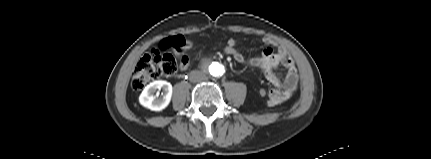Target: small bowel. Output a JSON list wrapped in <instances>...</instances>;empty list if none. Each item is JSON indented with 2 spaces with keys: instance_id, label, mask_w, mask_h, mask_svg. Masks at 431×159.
Segmentation results:
<instances>
[{
  "instance_id": "1",
  "label": "small bowel",
  "mask_w": 431,
  "mask_h": 159,
  "mask_svg": "<svg viewBox=\"0 0 431 159\" xmlns=\"http://www.w3.org/2000/svg\"><path fill=\"white\" fill-rule=\"evenodd\" d=\"M262 42L266 45V48L260 56L249 59H246L242 53L239 55L230 54V56L239 63L259 68L265 73L268 81L277 87L267 92V102L271 107H279L282 102L288 100L297 89V70L294 61L288 53L283 49L275 48V43L272 39L264 37ZM230 47L237 48V41L235 39H230L226 45L223 46L220 44L217 48L220 51L229 52ZM280 66L286 69V74L283 79L276 73V70ZM188 68L189 59L187 56H183L180 62V69L186 71Z\"/></svg>"
}]
</instances>
